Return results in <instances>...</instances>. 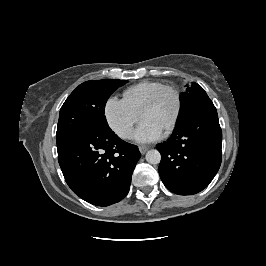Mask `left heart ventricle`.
<instances>
[{"label":"left heart ventricle","mask_w":266,"mask_h":266,"mask_svg":"<svg viewBox=\"0 0 266 266\" xmlns=\"http://www.w3.org/2000/svg\"><path fill=\"white\" fill-rule=\"evenodd\" d=\"M177 107L174 93L164 91L153 106L145 111L143 119H148L164 130L172 121Z\"/></svg>","instance_id":"obj_1"}]
</instances>
